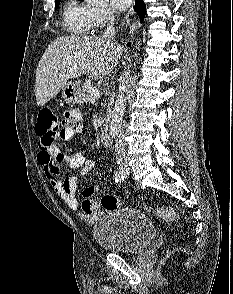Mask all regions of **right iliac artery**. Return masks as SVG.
<instances>
[{"label":"right iliac artery","mask_w":233,"mask_h":294,"mask_svg":"<svg viewBox=\"0 0 233 294\" xmlns=\"http://www.w3.org/2000/svg\"><path fill=\"white\" fill-rule=\"evenodd\" d=\"M115 181H116L117 183H121V182L124 181V175H123L122 172L117 171V172L115 173Z\"/></svg>","instance_id":"obj_1"}]
</instances>
